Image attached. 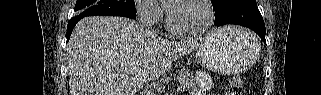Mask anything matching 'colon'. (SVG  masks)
<instances>
[{
  "mask_svg": "<svg viewBox=\"0 0 321 95\" xmlns=\"http://www.w3.org/2000/svg\"><path fill=\"white\" fill-rule=\"evenodd\" d=\"M242 85V78L238 75L230 77L228 86L231 88H239Z\"/></svg>",
  "mask_w": 321,
  "mask_h": 95,
  "instance_id": "1",
  "label": "colon"
}]
</instances>
